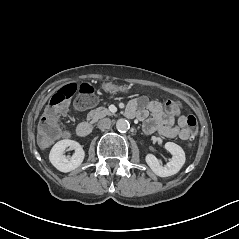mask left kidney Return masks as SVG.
Segmentation results:
<instances>
[{
	"label": "left kidney",
	"instance_id": "1",
	"mask_svg": "<svg viewBox=\"0 0 239 239\" xmlns=\"http://www.w3.org/2000/svg\"><path fill=\"white\" fill-rule=\"evenodd\" d=\"M165 150L172 154V158L165 165L160 164L159 160L153 155L146 157L147 164L153 173L159 177H168L178 173L186 160L183 149L173 142H167Z\"/></svg>",
	"mask_w": 239,
	"mask_h": 239
}]
</instances>
